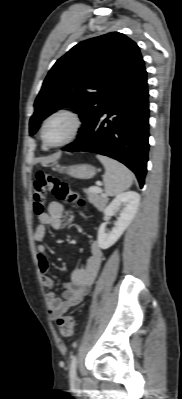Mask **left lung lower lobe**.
Instances as JSON below:
<instances>
[{"label":"left lung lower lobe","mask_w":182,"mask_h":399,"mask_svg":"<svg viewBox=\"0 0 182 399\" xmlns=\"http://www.w3.org/2000/svg\"><path fill=\"white\" fill-rule=\"evenodd\" d=\"M148 97L143 67L112 95L86 133L62 150L114 158L131 169L143 187L149 151Z\"/></svg>","instance_id":"0a47b994"}]
</instances>
